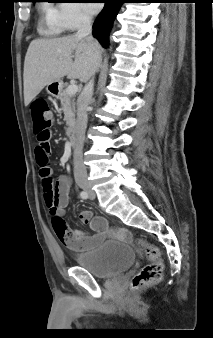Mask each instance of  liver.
<instances>
[{
    "label": "liver",
    "mask_w": 213,
    "mask_h": 338,
    "mask_svg": "<svg viewBox=\"0 0 213 338\" xmlns=\"http://www.w3.org/2000/svg\"><path fill=\"white\" fill-rule=\"evenodd\" d=\"M101 50L96 40L76 35L33 40L24 61L25 105H29L46 85L64 76L87 82L100 65Z\"/></svg>",
    "instance_id": "obj_1"
}]
</instances>
